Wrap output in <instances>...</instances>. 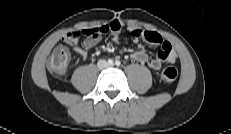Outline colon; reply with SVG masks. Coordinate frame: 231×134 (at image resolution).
I'll list each match as a JSON object with an SVG mask.
<instances>
[{
  "label": "colon",
  "instance_id": "5ec220e1",
  "mask_svg": "<svg viewBox=\"0 0 231 134\" xmlns=\"http://www.w3.org/2000/svg\"><path fill=\"white\" fill-rule=\"evenodd\" d=\"M70 55L65 47H57L51 54L48 62L47 68L50 72L61 75L63 74L69 63ZM177 70L174 67H166L160 75L161 80L164 83H173L177 78Z\"/></svg>",
  "mask_w": 231,
  "mask_h": 134
}]
</instances>
